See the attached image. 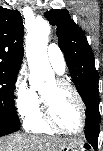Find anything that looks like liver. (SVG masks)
<instances>
[{"mask_svg":"<svg viewBox=\"0 0 103 151\" xmlns=\"http://www.w3.org/2000/svg\"><path fill=\"white\" fill-rule=\"evenodd\" d=\"M77 139L38 137L16 133L0 140V151H58L60 147Z\"/></svg>","mask_w":103,"mask_h":151,"instance_id":"obj_1","label":"liver"}]
</instances>
